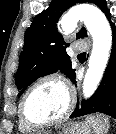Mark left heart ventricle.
I'll return each instance as SVG.
<instances>
[{
  "label": "left heart ventricle",
  "instance_id": "b2bd125f",
  "mask_svg": "<svg viewBox=\"0 0 116 134\" xmlns=\"http://www.w3.org/2000/svg\"><path fill=\"white\" fill-rule=\"evenodd\" d=\"M68 105V95L57 82H45L35 87L25 102L26 115L35 122L61 116Z\"/></svg>",
  "mask_w": 116,
  "mask_h": 134
}]
</instances>
